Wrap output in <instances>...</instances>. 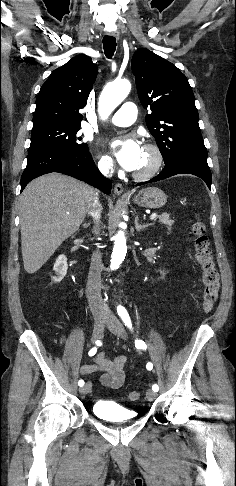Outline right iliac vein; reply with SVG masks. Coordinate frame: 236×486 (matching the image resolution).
<instances>
[{
    "mask_svg": "<svg viewBox=\"0 0 236 486\" xmlns=\"http://www.w3.org/2000/svg\"><path fill=\"white\" fill-rule=\"evenodd\" d=\"M104 327H105V320L98 319L95 321L93 333H92L93 342L100 340L103 337ZM91 387H92L91 382H87L85 385H83V387L79 389V391L82 395H86L87 393L90 392Z\"/></svg>",
    "mask_w": 236,
    "mask_h": 486,
    "instance_id": "1",
    "label": "right iliac vein"
}]
</instances>
